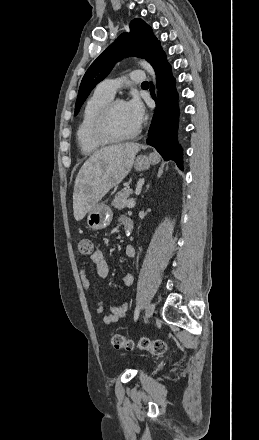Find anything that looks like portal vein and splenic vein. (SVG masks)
<instances>
[{
    "label": "portal vein and splenic vein",
    "mask_w": 259,
    "mask_h": 440,
    "mask_svg": "<svg viewBox=\"0 0 259 440\" xmlns=\"http://www.w3.org/2000/svg\"><path fill=\"white\" fill-rule=\"evenodd\" d=\"M135 204H136L135 200L131 199V200L128 201L127 207L128 208H133V207H135Z\"/></svg>",
    "instance_id": "1"
}]
</instances>
